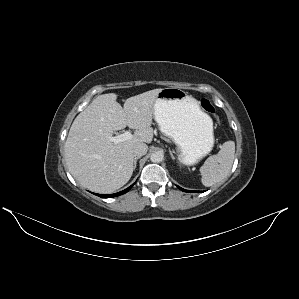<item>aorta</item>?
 I'll use <instances>...</instances> for the list:
<instances>
[{
    "instance_id": "1",
    "label": "aorta",
    "mask_w": 299,
    "mask_h": 299,
    "mask_svg": "<svg viewBox=\"0 0 299 299\" xmlns=\"http://www.w3.org/2000/svg\"><path fill=\"white\" fill-rule=\"evenodd\" d=\"M163 158H164V155H163V153L162 152H154V153H152L151 154V156H150V160L152 161V162H154V163H159V162H161L162 160H163Z\"/></svg>"
}]
</instances>
